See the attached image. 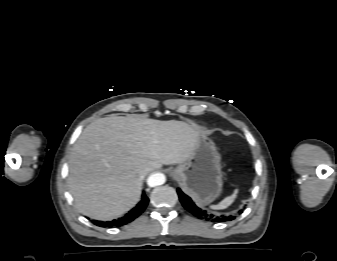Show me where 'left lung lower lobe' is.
I'll use <instances>...</instances> for the list:
<instances>
[{
  "label": "left lung lower lobe",
  "instance_id": "obj_1",
  "mask_svg": "<svg viewBox=\"0 0 337 261\" xmlns=\"http://www.w3.org/2000/svg\"><path fill=\"white\" fill-rule=\"evenodd\" d=\"M177 192L184 208L197 218L211 222L231 221L235 218L233 215L225 216L207 213L205 210L198 208L191 198L185 195L180 189H177ZM239 213H242V210H240Z\"/></svg>",
  "mask_w": 337,
  "mask_h": 261
}]
</instances>
